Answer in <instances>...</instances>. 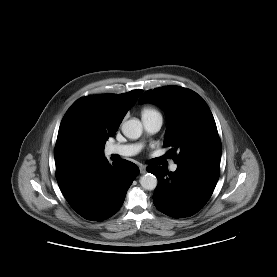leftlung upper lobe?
<instances>
[{"instance_id": "left-lung-upper-lobe-1", "label": "left lung upper lobe", "mask_w": 277, "mask_h": 277, "mask_svg": "<svg viewBox=\"0 0 277 277\" xmlns=\"http://www.w3.org/2000/svg\"><path fill=\"white\" fill-rule=\"evenodd\" d=\"M140 103L153 102L168 117L164 146L176 164L199 159L221 158V141L206 102L194 91L178 86L148 90Z\"/></svg>"}]
</instances>
